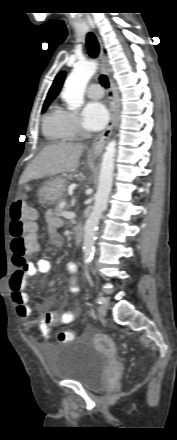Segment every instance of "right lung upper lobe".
Returning a JSON list of instances; mask_svg holds the SVG:
<instances>
[{
    "mask_svg": "<svg viewBox=\"0 0 177 440\" xmlns=\"http://www.w3.org/2000/svg\"><path fill=\"white\" fill-rule=\"evenodd\" d=\"M64 79H65V72H61L56 76V78L53 82V85L51 86L44 103H47V102L50 103L58 95V93L63 85Z\"/></svg>",
    "mask_w": 177,
    "mask_h": 440,
    "instance_id": "obj_1",
    "label": "right lung upper lobe"
}]
</instances>
